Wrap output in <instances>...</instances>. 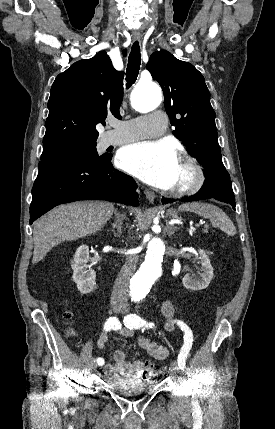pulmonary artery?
<instances>
[{"instance_id":"obj_1","label":"pulmonary artery","mask_w":275,"mask_h":429,"mask_svg":"<svg viewBox=\"0 0 275 429\" xmlns=\"http://www.w3.org/2000/svg\"><path fill=\"white\" fill-rule=\"evenodd\" d=\"M115 127L105 137V144L108 146L161 135L166 127V115L155 111L146 116L117 122Z\"/></svg>"}]
</instances>
